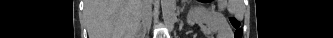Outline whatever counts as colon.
I'll return each instance as SVG.
<instances>
[{
    "label": "colon",
    "mask_w": 333,
    "mask_h": 38,
    "mask_svg": "<svg viewBox=\"0 0 333 38\" xmlns=\"http://www.w3.org/2000/svg\"><path fill=\"white\" fill-rule=\"evenodd\" d=\"M229 22L234 29V38H242L243 31L240 21L235 17H229Z\"/></svg>",
    "instance_id": "colon-1"
}]
</instances>
